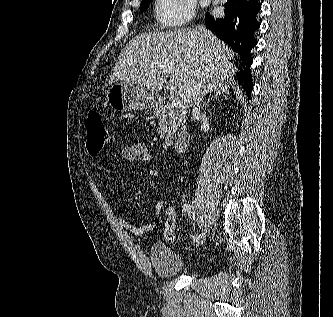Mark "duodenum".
Returning a JSON list of instances; mask_svg holds the SVG:
<instances>
[{
    "label": "duodenum",
    "instance_id": "410a0bca",
    "mask_svg": "<svg viewBox=\"0 0 333 317\" xmlns=\"http://www.w3.org/2000/svg\"><path fill=\"white\" fill-rule=\"evenodd\" d=\"M152 103L156 106L162 105L163 99L160 96H153ZM188 144H189L188 133L180 132L174 137L172 142V147L175 153L182 154L186 151Z\"/></svg>",
    "mask_w": 333,
    "mask_h": 317
}]
</instances>
